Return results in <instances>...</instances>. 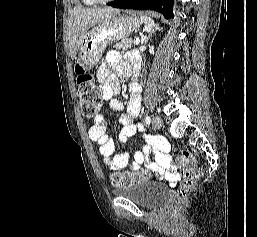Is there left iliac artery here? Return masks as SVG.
Listing matches in <instances>:
<instances>
[{
	"mask_svg": "<svg viewBox=\"0 0 257 237\" xmlns=\"http://www.w3.org/2000/svg\"><path fill=\"white\" fill-rule=\"evenodd\" d=\"M150 122H151L150 116H146V117H145V124H146V125H149Z\"/></svg>",
	"mask_w": 257,
	"mask_h": 237,
	"instance_id": "left-iliac-artery-1",
	"label": "left iliac artery"
}]
</instances>
